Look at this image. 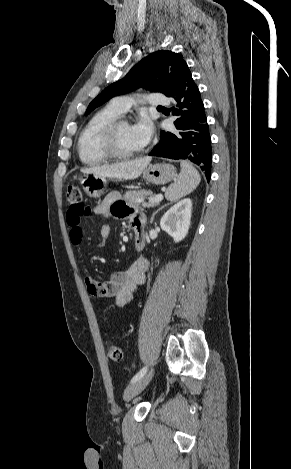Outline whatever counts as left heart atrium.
Wrapping results in <instances>:
<instances>
[{
	"instance_id": "obj_1",
	"label": "left heart atrium",
	"mask_w": 291,
	"mask_h": 469,
	"mask_svg": "<svg viewBox=\"0 0 291 469\" xmlns=\"http://www.w3.org/2000/svg\"><path fill=\"white\" fill-rule=\"evenodd\" d=\"M132 131L142 146H145L150 141L153 134V125L149 118L143 116L134 125Z\"/></svg>"
}]
</instances>
